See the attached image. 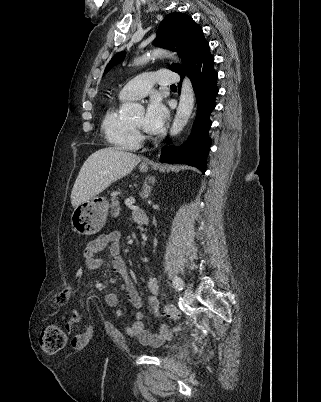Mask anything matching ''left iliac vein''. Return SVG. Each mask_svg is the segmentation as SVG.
<instances>
[{"label":"left iliac vein","instance_id":"4c4485c4","mask_svg":"<svg viewBox=\"0 0 321 402\" xmlns=\"http://www.w3.org/2000/svg\"><path fill=\"white\" fill-rule=\"evenodd\" d=\"M194 293L192 291V289L190 288H186L184 291V301L187 305H192L193 301H194Z\"/></svg>","mask_w":321,"mask_h":402}]
</instances>
